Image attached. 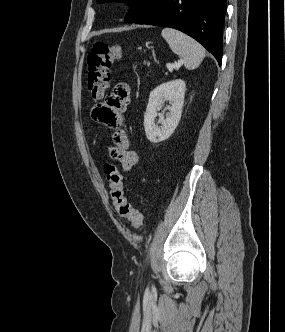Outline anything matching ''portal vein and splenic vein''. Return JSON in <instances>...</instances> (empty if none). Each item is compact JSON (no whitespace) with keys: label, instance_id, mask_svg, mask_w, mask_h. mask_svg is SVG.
<instances>
[{"label":"portal vein and splenic vein","instance_id":"portal-vein-and-splenic-vein-1","mask_svg":"<svg viewBox=\"0 0 285 332\" xmlns=\"http://www.w3.org/2000/svg\"><path fill=\"white\" fill-rule=\"evenodd\" d=\"M182 65V62H178L177 64H170V63H167L166 64V67L168 68V69H173V68H175V67H179V66H181Z\"/></svg>","mask_w":285,"mask_h":332}]
</instances>
